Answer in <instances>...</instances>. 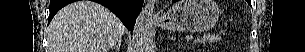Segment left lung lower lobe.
<instances>
[{
  "label": "left lung lower lobe",
  "mask_w": 305,
  "mask_h": 52,
  "mask_svg": "<svg viewBox=\"0 0 305 52\" xmlns=\"http://www.w3.org/2000/svg\"><path fill=\"white\" fill-rule=\"evenodd\" d=\"M172 2H176V0H172Z\"/></svg>",
  "instance_id": "1"
}]
</instances>
